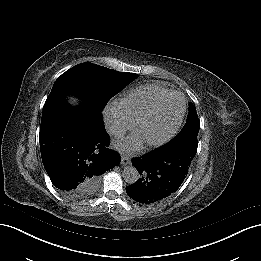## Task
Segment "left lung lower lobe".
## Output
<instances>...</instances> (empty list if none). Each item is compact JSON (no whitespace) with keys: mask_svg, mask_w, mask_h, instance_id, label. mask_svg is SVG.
Returning <instances> with one entry per match:
<instances>
[{"mask_svg":"<svg viewBox=\"0 0 261 261\" xmlns=\"http://www.w3.org/2000/svg\"><path fill=\"white\" fill-rule=\"evenodd\" d=\"M196 151L181 143H168L141 157L133 158L138 181L126 187L127 194L142 204L166 200L184 181Z\"/></svg>","mask_w":261,"mask_h":261,"instance_id":"1","label":"left lung lower lobe"}]
</instances>
